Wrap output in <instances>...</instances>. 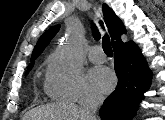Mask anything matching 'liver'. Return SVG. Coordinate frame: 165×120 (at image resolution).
<instances>
[{
    "label": "liver",
    "mask_w": 165,
    "mask_h": 120,
    "mask_svg": "<svg viewBox=\"0 0 165 120\" xmlns=\"http://www.w3.org/2000/svg\"><path fill=\"white\" fill-rule=\"evenodd\" d=\"M81 111L74 103L60 102L33 109L23 120H81Z\"/></svg>",
    "instance_id": "liver-1"
}]
</instances>
